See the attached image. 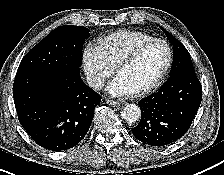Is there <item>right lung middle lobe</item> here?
I'll return each instance as SVG.
<instances>
[{
    "label": "right lung middle lobe",
    "instance_id": "1",
    "mask_svg": "<svg viewBox=\"0 0 224 175\" xmlns=\"http://www.w3.org/2000/svg\"><path fill=\"white\" fill-rule=\"evenodd\" d=\"M89 36L83 26L64 25L54 29L22 59L19 70H58L79 68L82 45Z\"/></svg>",
    "mask_w": 224,
    "mask_h": 175
}]
</instances>
